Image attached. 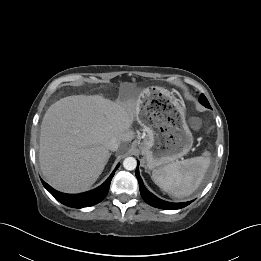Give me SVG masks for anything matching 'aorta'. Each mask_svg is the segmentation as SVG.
Returning <instances> with one entry per match:
<instances>
[{"mask_svg":"<svg viewBox=\"0 0 261 261\" xmlns=\"http://www.w3.org/2000/svg\"><path fill=\"white\" fill-rule=\"evenodd\" d=\"M137 166V161L134 157H127L124 159L123 161V167L126 169V170H134Z\"/></svg>","mask_w":261,"mask_h":261,"instance_id":"aorta-1","label":"aorta"}]
</instances>
